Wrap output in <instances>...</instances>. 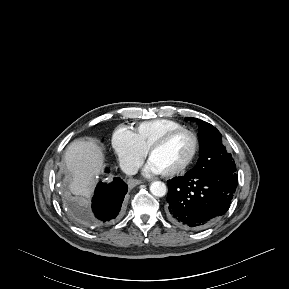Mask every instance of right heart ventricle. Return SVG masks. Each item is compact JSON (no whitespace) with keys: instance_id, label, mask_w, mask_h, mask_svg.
Listing matches in <instances>:
<instances>
[{"instance_id":"obj_1","label":"right heart ventricle","mask_w":289,"mask_h":289,"mask_svg":"<svg viewBox=\"0 0 289 289\" xmlns=\"http://www.w3.org/2000/svg\"><path fill=\"white\" fill-rule=\"evenodd\" d=\"M185 128L181 123L170 119H154L141 122L132 131L139 147L146 152L149 147L170 131Z\"/></svg>"}]
</instances>
